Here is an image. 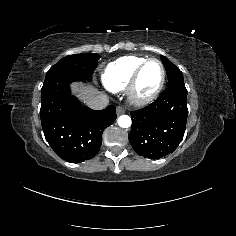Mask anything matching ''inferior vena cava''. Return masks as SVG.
Segmentation results:
<instances>
[{
    "label": "inferior vena cava",
    "mask_w": 236,
    "mask_h": 236,
    "mask_svg": "<svg viewBox=\"0 0 236 236\" xmlns=\"http://www.w3.org/2000/svg\"><path fill=\"white\" fill-rule=\"evenodd\" d=\"M109 104V98L105 94L98 96H92L86 101V105L94 110H101L107 107Z\"/></svg>",
    "instance_id": "602c4592"
}]
</instances>
